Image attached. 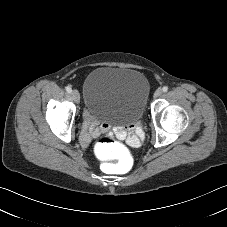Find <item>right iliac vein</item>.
Instances as JSON below:
<instances>
[{"label": "right iliac vein", "instance_id": "1", "mask_svg": "<svg viewBox=\"0 0 227 227\" xmlns=\"http://www.w3.org/2000/svg\"><path fill=\"white\" fill-rule=\"evenodd\" d=\"M71 95H72V98L75 102H79L80 95H79V92L76 89H74L72 91Z\"/></svg>", "mask_w": 227, "mask_h": 227}]
</instances>
